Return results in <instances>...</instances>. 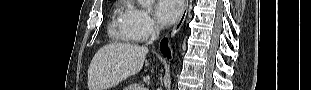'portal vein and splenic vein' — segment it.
Listing matches in <instances>:
<instances>
[{"label": "portal vein and splenic vein", "instance_id": "18ae733b", "mask_svg": "<svg viewBox=\"0 0 311 90\" xmlns=\"http://www.w3.org/2000/svg\"><path fill=\"white\" fill-rule=\"evenodd\" d=\"M141 90H148V88H141Z\"/></svg>", "mask_w": 311, "mask_h": 90}]
</instances>
